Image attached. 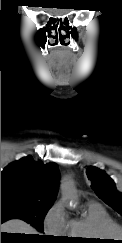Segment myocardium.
Instances as JSON below:
<instances>
[{"mask_svg":"<svg viewBox=\"0 0 122 243\" xmlns=\"http://www.w3.org/2000/svg\"><path fill=\"white\" fill-rule=\"evenodd\" d=\"M108 231H109V235L112 237L122 235V227L116 224L109 226Z\"/></svg>","mask_w":122,"mask_h":243,"instance_id":"obj_1","label":"myocardium"}]
</instances>
